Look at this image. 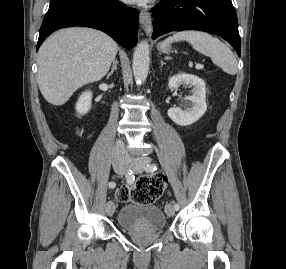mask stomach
<instances>
[{
    "mask_svg": "<svg viewBox=\"0 0 286 269\" xmlns=\"http://www.w3.org/2000/svg\"><path fill=\"white\" fill-rule=\"evenodd\" d=\"M160 49L163 51H167L169 49V46L163 47V45H160Z\"/></svg>",
    "mask_w": 286,
    "mask_h": 269,
    "instance_id": "1",
    "label": "stomach"
}]
</instances>
